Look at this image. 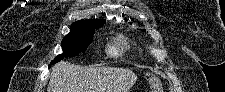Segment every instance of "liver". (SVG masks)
Instances as JSON below:
<instances>
[{"instance_id":"1","label":"liver","mask_w":225,"mask_h":92,"mask_svg":"<svg viewBox=\"0 0 225 92\" xmlns=\"http://www.w3.org/2000/svg\"><path fill=\"white\" fill-rule=\"evenodd\" d=\"M137 75L116 67H81L65 61L52 67L47 92H128Z\"/></svg>"}]
</instances>
